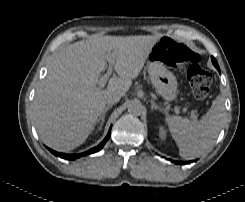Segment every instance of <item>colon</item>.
<instances>
[{
	"instance_id": "colon-1",
	"label": "colon",
	"mask_w": 245,
	"mask_h": 202,
	"mask_svg": "<svg viewBox=\"0 0 245 202\" xmlns=\"http://www.w3.org/2000/svg\"><path fill=\"white\" fill-rule=\"evenodd\" d=\"M162 56L175 68L184 72L195 97L204 98L209 91L211 76L199 65V55L171 37L159 41Z\"/></svg>"
}]
</instances>
